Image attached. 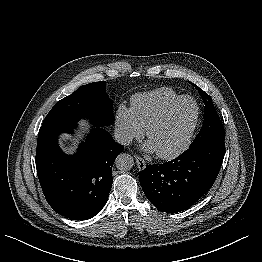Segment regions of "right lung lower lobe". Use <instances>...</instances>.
<instances>
[{
  "label": "right lung lower lobe",
  "instance_id": "right-lung-lower-lobe-1",
  "mask_svg": "<svg viewBox=\"0 0 262 262\" xmlns=\"http://www.w3.org/2000/svg\"><path fill=\"white\" fill-rule=\"evenodd\" d=\"M75 124L42 126L36 150L38 178L49 205L72 220L97 215L106 204L112 186V166L124 146L103 128L95 126L74 155L64 154L57 142Z\"/></svg>",
  "mask_w": 262,
  "mask_h": 262
}]
</instances>
